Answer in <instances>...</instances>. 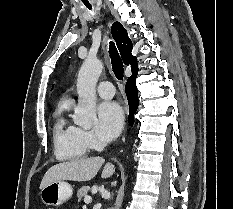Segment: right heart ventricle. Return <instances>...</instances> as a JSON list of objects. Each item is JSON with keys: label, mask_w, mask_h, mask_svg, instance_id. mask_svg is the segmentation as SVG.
<instances>
[{"label": "right heart ventricle", "mask_w": 233, "mask_h": 209, "mask_svg": "<svg viewBox=\"0 0 233 209\" xmlns=\"http://www.w3.org/2000/svg\"><path fill=\"white\" fill-rule=\"evenodd\" d=\"M72 107V100L64 97L59 100L54 110L53 141L57 159L72 161L87 156L89 149L81 142L78 128L67 119Z\"/></svg>", "instance_id": "1"}]
</instances>
